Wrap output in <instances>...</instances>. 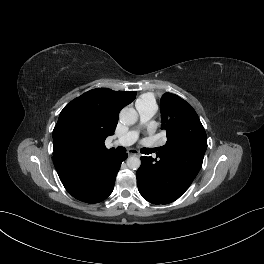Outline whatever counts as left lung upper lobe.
Instances as JSON below:
<instances>
[{
  "label": "left lung upper lobe",
  "instance_id": "5c2ea615",
  "mask_svg": "<svg viewBox=\"0 0 264 264\" xmlns=\"http://www.w3.org/2000/svg\"><path fill=\"white\" fill-rule=\"evenodd\" d=\"M161 120V128L166 130L167 143L159 148V152H183L186 154V161L205 154L207 135L197 113L189 103L177 95L163 94Z\"/></svg>",
  "mask_w": 264,
  "mask_h": 264
}]
</instances>
